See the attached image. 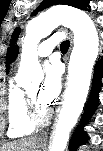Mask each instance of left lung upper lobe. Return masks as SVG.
<instances>
[{
  "instance_id": "5c2ea615",
  "label": "left lung upper lobe",
  "mask_w": 103,
  "mask_h": 151,
  "mask_svg": "<svg viewBox=\"0 0 103 151\" xmlns=\"http://www.w3.org/2000/svg\"><path fill=\"white\" fill-rule=\"evenodd\" d=\"M55 4L69 5L90 12V0H43L31 16H34L38 11L49 8Z\"/></svg>"
}]
</instances>
